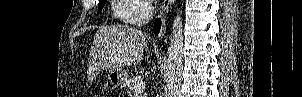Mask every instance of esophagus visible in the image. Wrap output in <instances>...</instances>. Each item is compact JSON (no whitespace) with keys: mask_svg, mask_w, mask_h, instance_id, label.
Segmentation results:
<instances>
[{"mask_svg":"<svg viewBox=\"0 0 302 97\" xmlns=\"http://www.w3.org/2000/svg\"><path fill=\"white\" fill-rule=\"evenodd\" d=\"M173 2H174V0H164L160 7V15L163 17V25H162L161 33L159 35V39H162L165 36L166 16H167L169 10L171 9Z\"/></svg>","mask_w":302,"mask_h":97,"instance_id":"34e87169","label":"esophagus"}]
</instances>
